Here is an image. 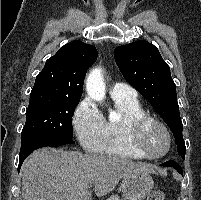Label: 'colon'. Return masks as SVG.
Here are the masks:
<instances>
[{
	"label": "colon",
	"instance_id": "1",
	"mask_svg": "<svg viewBox=\"0 0 201 200\" xmlns=\"http://www.w3.org/2000/svg\"><path fill=\"white\" fill-rule=\"evenodd\" d=\"M148 200H164V193L161 191H152Z\"/></svg>",
	"mask_w": 201,
	"mask_h": 200
}]
</instances>
